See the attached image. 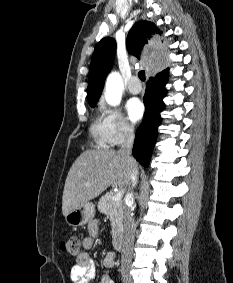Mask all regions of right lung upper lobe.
Instances as JSON below:
<instances>
[{
	"instance_id": "obj_1",
	"label": "right lung upper lobe",
	"mask_w": 233,
	"mask_h": 283,
	"mask_svg": "<svg viewBox=\"0 0 233 283\" xmlns=\"http://www.w3.org/2000/svg\"><path fill=\"white\" fill-rule=\"evenodd\" d=\"M161 31L149 21H139L131 28L127 37L128 51L140 59V55L147 54V59H171V54H176V49H165L168 38H159ZM116 51V41L111 37L103 38L97 45L90 64L87 99L89 105H96L99 100L104 81L110 72ZM152 65L157 61L152 60ZM162 69L161 65L157 66Z\"/></svg>"
}]
</instances>
